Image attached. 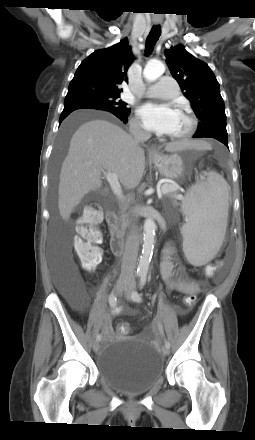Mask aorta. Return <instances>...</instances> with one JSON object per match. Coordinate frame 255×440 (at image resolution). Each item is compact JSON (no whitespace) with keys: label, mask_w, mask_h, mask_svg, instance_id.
<instances>
[{"label":"aorta","mask_w":255,"mask_h":440,"mask_svg":"<svg viewBox=\"0 0 255 440\" xmlns=\"http://www.w3.org/2000/svg\"><path fill=\"white\" fill-rule=\"evenodd\" d=\"M165 72V65L161 61H149L143 71L144 78L153 82L157 80ZM156 224L152 218H147L143 226V245L142 254L139 259L137 272L145 275L148 272L150 261L153 255L155 243Z\"/></svg>","instance_id":"1"}]
</instances>
